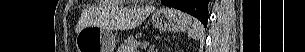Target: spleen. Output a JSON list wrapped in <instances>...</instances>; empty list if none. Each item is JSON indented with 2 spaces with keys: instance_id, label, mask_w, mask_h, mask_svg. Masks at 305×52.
<instances>
[{
  "instance_id": "obj_1",
  "label": "spleen",
  "mask_w": 305,
  "mask_h": 52,
  "mask_svg": "<svg viewBox=\"0 0 305 52\" xmlns=\"http://www.w3.org/2000/svg\"><path fill=\"white\" fill-rule=\"evenodd\" d=\"M204 33L201 23L194 20L192 27L188 30V36L193 39H200Z\"/></svg>"
}]
</instances>
